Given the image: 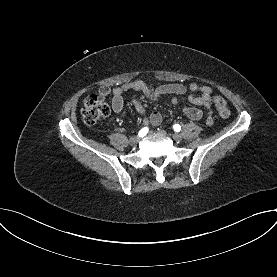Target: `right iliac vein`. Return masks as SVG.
Instances as JSON below:
<instances>
[{
    "instance_id": "obj_1",
    "label": "right iliac vein",
    "mask_w": 277,
    "mask_h": 277,
    "mask_svg": "<svg viewBox=\"0 0 277 277\" xmlns=\"http://www.w3.org/2000/svg\"><path fill=\"white\" fill-rule=\"evenodd\" d=\"M140 141V136H134L130 138L129 143L130 145H136Z\"/></svg>"
}]
</instances>
